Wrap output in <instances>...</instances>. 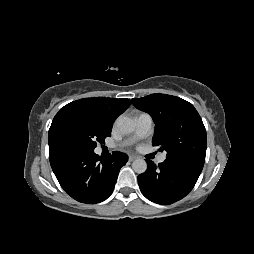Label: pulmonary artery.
<instances>
[{
  "mask_svg": "<svg viewBox=\"0 0 254 254\" xmlns=\"http://www.w3.org/2000/svg\"><path fill=\"white\" fill-rule=\"evenodd\" d=\"M152 127H153L152 117L147 113L139 114L136 117V128L133 136L125 140L122 145L127 146L134 143L137 140L147 137L151 133ZM165 158H166L165 154H162L157 158V162L162 163L165 160Z\"/></svg>",
  "mask_w": 254,
  "mask_h": 254,
  "instance_id": "obj_1",
  "label": "pulmonary artery"
}]
</instances>
